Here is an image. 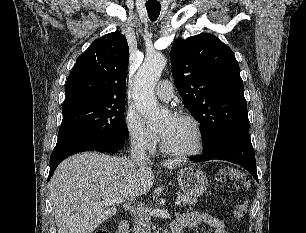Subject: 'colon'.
<instances>
[{
  "label": "colon",
  "instance_id": "1",
  "mask_svg": "<svg viewBox=\"0 0 306 233\" xmlns=\"http://www.w3.org/2000/svg\"><path fill=\"white\" fill-rule=\"evenodd\" d=\"M232 179H235L237 185L241 188H245L247 186V178L243 173L237 172L234 169L225 168L222 169L219 173V180L222 182H228ZM248 210V206L246 202H241L237 204L233 210V216L236 219L243 218ZM94 233H108V230L106 227H102L99 229H96Z\"/></svg>",
  "mask_w": 306,
  "mask_h": 233
}]
</instances>
